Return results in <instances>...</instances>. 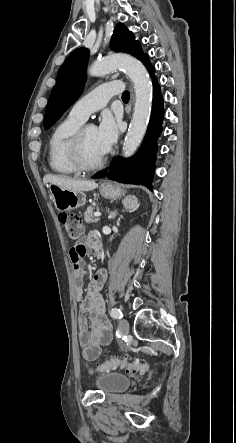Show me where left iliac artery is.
<instances>
[{"mask_svg":"<svg viewBox=\"0 0 236 443\" xmlns=\"http://www.w3.org/2000/svg\"><path fill=\"white\" fill-rule=\"evenodd\" d=\"M110 314L114 319H121L123 317L121 310L118 308H112Z\"/></svg>","mask_w":236,"mask_h":443,"instance_id":"left-iliac-artery-1","label":"left iliac artery"}]
</instances>
